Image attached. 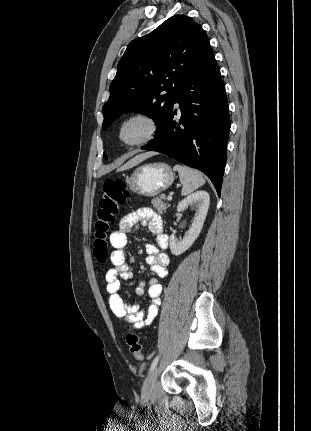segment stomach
<instances>
[{"label":"stomach","mask_w":311,"mask_h":431,"mask_svg":"<svg viewBox=\"0 0 311 431\" xmlns=\"http://www.w3.org/2000/svg\"><path fill=\"white\" fill-rule=\"evenodd\" d=\"M174 180L175 174L168 164L154 162V164H144L136 168L125 182L133 194L154 198L170 188Z\"/></svg>","instance_id":"stomach-1"}]
</instances>
